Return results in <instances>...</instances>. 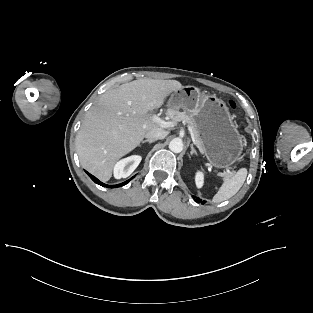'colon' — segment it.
<instances>
[{
    "label": "colon",
    "instance_id": "5ec220e1",
    "mask_svg": "<svg viewBox=\"0 0 313 313\" xmlns=\"http://www.w3.org/2000/svg\"><path fill=\"white\" fill-rule=\"evenodd\" d=\"M228 105L230 108L234 109L236 107V104L233 101H229Z\"/></svg>",
    "mask_w": 313,
    "mask_h": 313
}]
</instances>
